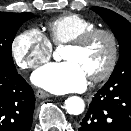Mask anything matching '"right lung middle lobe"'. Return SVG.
I'll return each mask as SVG.
<instances>
[{"label":"right lung middle lobe","instance_id":"dd1d6c3e","mask_svg":"<svg viewBox=\"0 0 131 131\" xmlns=\"http://www.w3.org/2000/svg\"><path fill=\"white\" fill-rule=\"evenodd\" d=\"M34 15L29 12H0V66L15 68L11 45L20 26Z\"/></svg>","mask_w":131,"mask_h":131}]
</instances>
